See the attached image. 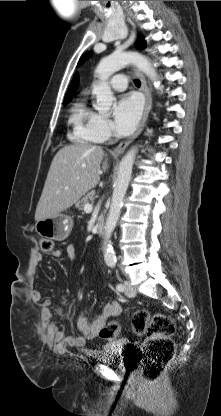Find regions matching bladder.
Here are the masks:
<instances>
[{
    "label": "bladder",
    "mask_w": 221,
    "mask_h": 416,
    "mask_svg": "<svg viewBox=\"0 0 221 416\" xmlns=\"http://www.w3.org/2000/svg\"><path fill=\"white\" fill-rule=\"evenodd\" d=\"M114 357V353L110 350V346L105 345L103 348V355L101 361L105 364L113 365L112 358ZM117 368H123L122 366L116 365Z\"/></svg>",
    "instance_id": "bladder-1"
}]
</instances>
